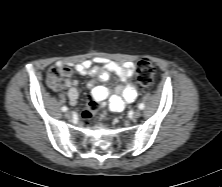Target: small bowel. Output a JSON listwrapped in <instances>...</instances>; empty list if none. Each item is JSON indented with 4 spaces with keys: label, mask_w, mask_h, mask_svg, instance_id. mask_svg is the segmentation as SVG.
I'll return each mask as SVG.
<instances>
[{
    "label": "small bowel",
    "mask_w": 222,
    "mask_h": 187,
    "mask_svg": "<svg viewBox=\"0 0 222 187\" xmlns=\"http://www.w3.org/2000/svg\"><path fill=\"white\" fill-rule=\"evenodd\" d=\"M57 66L61 68L64 74L68 77L64 82V86L68 89L67 96L72 105L77 104L80 93L78 82L69 79L74 71L92 77L87 84L92 96L99 101L108 100V107L112 111L118 112L123 110L127 104L134 102L138 96L135 86L130 82L134 74V64L132 62H117L106 58L96 57L92 60H85L76 64L73 69L62 61L57 62ZM111 73H115L119 77L120 84L113 89L97 84L98 81H106ZM47 83L56 91L63 88L62 84L51 78H48Z\"/></svg>",
    "instance_id": "c3829d8e"
}]
</instances>
